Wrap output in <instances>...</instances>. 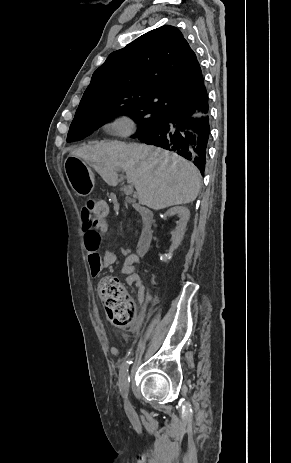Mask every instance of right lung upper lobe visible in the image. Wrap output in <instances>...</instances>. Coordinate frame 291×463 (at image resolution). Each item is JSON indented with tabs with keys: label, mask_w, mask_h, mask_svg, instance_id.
I'll use <instances>...</instances> for the list:
<instances>
[{
	"label": "right lung upper lobe",
	"mask_w": 291,
	"mask_h": 463,
	"mask_svg": "<svg viewBox=\"0 0 291 463\" xmlns=\"http://www.w3.org/2000/svg\"><path fill=\"white\" fill-rule=\"evenodd\" d=\"M206 94L194 51L178 28L165 25L112 52L93 73L78 109L134 101L166 113L193 109Z\"/></svg>",
	"instance_id": "cb5924a9"
}]
</instances>
